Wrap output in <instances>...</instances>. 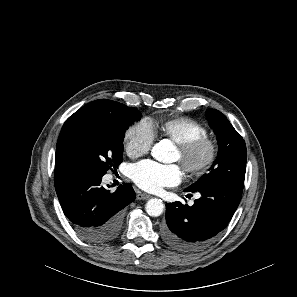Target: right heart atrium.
I'll use <instances>...</instances> for the list:
<instances>
[{"label": "right heart atrium", "instance_id": "right-heart-atrium-1", "mask_svg": "<svg viewBox=\"0 0 297 297\" xmlns=\"http://www.w3.org/2000/svg\"><path fill=\"white\" fill-rule=\"evenodd\" d=\"M155 139L151 124L142 120L131 127L125 133L124 147L126 153L132 158H138L147 154Z\"/></svg>", "mask_w": 297, "mask_h": 297}]
</instances>
